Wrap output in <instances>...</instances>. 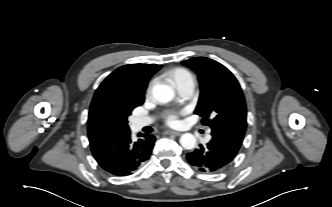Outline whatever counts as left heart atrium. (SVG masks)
I'll return each instance as SVG.
<instances>
[{"instance_id": "1", "label": "left heart atrium", "mask_w": 332, "mask_h": 207, "mask_svg": "<svg viewBox=\"0 0 332 207\" xmlns=\"http://www.w3.org/2000/svg\"><path fill=\"white\" fill-rule=\"evenodd\" d=\"M166 122L170 126H176V125H178L179 124L178 114H170L167 117Z\"/></svg>"}]
</instances>
